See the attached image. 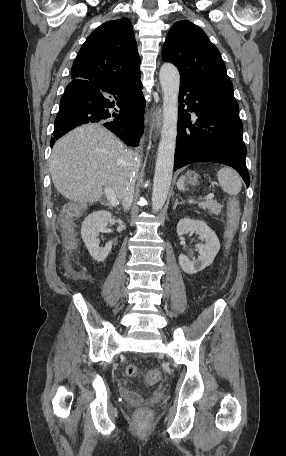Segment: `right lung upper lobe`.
Listing matches in <instances>:
<instances>
[{
	"label": "right lung upper lobe",
	"instance_id": "cb5924a9",
	"mask_svg": "<svg viewBox=\"0 0 286 456\" xmlns=\"http://www.w3.org/2000/svg\"><path fill=\"white\" fill-rule=\"evenodd\" d=\"M140 57L131 22L126 18L103 23L81 47L71 78L112 88L140 78Z\"/></svg>",
	"mask_w": 286,
	"mask_h": 456
}]
</instances>
